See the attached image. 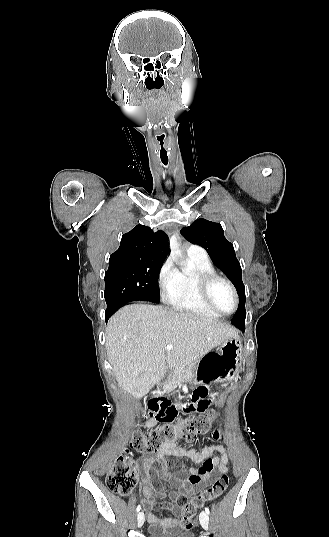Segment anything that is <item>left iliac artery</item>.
Masks as SVG:
<instances>
[{
  "mask_svg": "<svg viewBox=\"0 0 329 537\" xmlns=\"http://www.w3.org/2000/svg\"><path fill=\"white\" fill-rule=\"evenodd\" d=\"M205 512H206L207 514H210V511H209V508H208V507H205Z\"/></svg>",
  "mask_w": 329,
  "mask_h": 537,
  "instance_id": "44dca946",
  "label": "left iliac artery"
}]
</instances>
